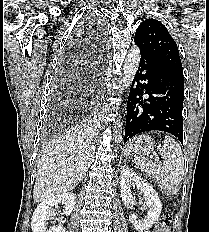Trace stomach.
I'll return each instance as SVG.
<instances>
[{"label":"stomach","mask_w":209,"mask_h":232,"mask_svg":"<svg viewBox=\"0 0 209 232\" xmlns=\"http://www.w3.org/2000/svg\"><path fill=\"white\" fill-rule=\"evenodd\" d=\"M155 147V143L150 136L140 135L126 144L124 153L126 156L141 157L152 153Z\"/></svg>","instance_id":"1"}]
</instances>
